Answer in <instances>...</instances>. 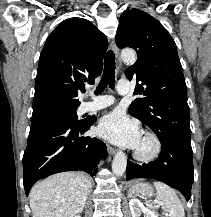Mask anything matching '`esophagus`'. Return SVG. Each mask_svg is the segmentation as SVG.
Wrapping results in <instances>:
<instances>
[{
    "label": "esophagus",
    "instance_id": "obj_1",
    "mask_svg": "<svg viewBox=\"0 0 211 217\" xmlns=\"http://www.w3.org/2000/svg\"><path fill=\"white\" fill-rule=\"evenodd\" d=\"M110 46H111L112 50L114 51L116 57L118 58V56H119V49H118V47H117V45H116V43H115L114 40L111 41ZM107 150H108V153L110 155H113V154L116 153V149L113 148L112 146L108 145V144H107Z\"/></svg>",
    "mask_w": 211,
    "mask_h": 217
}]
</instances>
